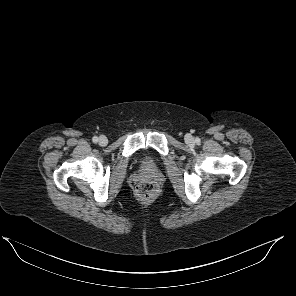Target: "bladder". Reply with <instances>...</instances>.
<instances>
[{"label":"bladder","instance_id":"bladder-1","mask_svg":"<svg viewBox=\"0 0 296 296\" xmlns=\"http://www.w3.org/2000/svg\"><path fill=\"white\" fill-rule=\"evenodd\" d=\"M138 165L142 171L151 172L158 168V163L149 154H143L138 159Z\"/></svg>","mask_w":296,"mask_h":296}]
</instances>
